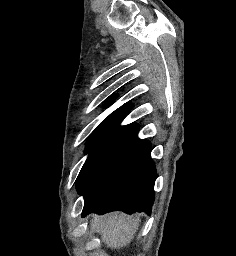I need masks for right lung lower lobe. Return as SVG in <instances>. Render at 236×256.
<instances>
[{"label": "right lung lower lobe", "mask_w": 236, "mask_h": 256, "mask_svg": "<svg viewBox=\"0 0 236 256\" xmlns=\"http://www.w3.org/2000/svg\"><path fill=\"white\" fill-rule=\"evenodd\" d=\"M150 151L147 140H138L111 161L81 193L85 200L82 217L116 210L150 214L156 178Z\"/></svg>", "instance_id": "obj_1"}]
</instances>
